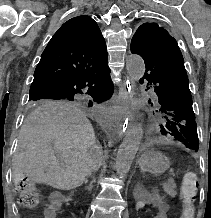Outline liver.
I'll list each match as a JSON object with an SVG mask.
<instances>
[{
    "mask_svg": "<svg viewBox=\"0 0 211 218\" xmlns=\"http://www.w3.org/2000/svg\"><path fill=\"white\" fill-rule=\"evenodd\" d=\"M98 158L94 130L83 112L49 104L33 110L21 126L15 174L17 180L29 176L36 184L72 190L95 172Z\"/></svg>",
    "mask_w": 211,
    "mask_h": 218,
    "instance_id": "obj_1",
    "label": "liver"
}]
</instances>
